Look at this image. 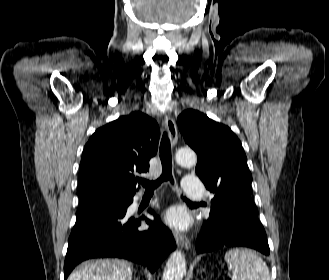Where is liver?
<instances>
[{
  "label": "liver",
  "mask_w": 329,
  "mask_h": 280,
  "mask_svg": "<svg viewBox=\"0 0 329 280\" xmlns=\"http://www.w3.org/2000/svg\"><path fill=\"white\" fill-rule=\"evenodd\" d=\"M132 273L127 261L102 259L83 263L67 280H131Z\"/></svg>",
  "instance_id": "1"
}]
</instances>
